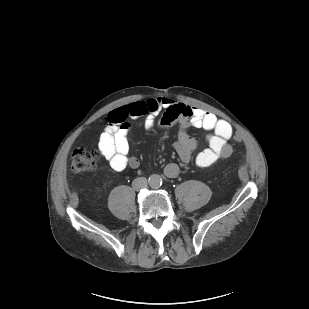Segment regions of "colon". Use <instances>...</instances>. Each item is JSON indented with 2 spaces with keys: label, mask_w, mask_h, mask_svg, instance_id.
I'll return each mask as SVG.
<instances>
[{
  "label": "colon",
  "mask_w": 309,
  "mask_h": 309,
  "mask_svg": "<svg viewBox=\"0 0 309 309\" xmlns=\"http://www.w3.org/2000/svg\"><path fill=\"white\" fill-rule=\"evenodd\" d=\"M235 141L240 139L239 134L234 133ZM98 160V154L94 150L86 147L76 148L71 155V170L76 174L90 172L95 169Z\"/></svg>",
  "instance_id": "obj_1"
}]
</instances>
